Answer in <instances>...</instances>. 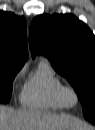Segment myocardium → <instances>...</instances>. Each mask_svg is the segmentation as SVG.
I'll return each mask as SVG.
<instances>
[{
    "label": "myocardium",
    "mask_w": 95,
    "mask_h": 130,
    "mask_svg": "<svg viewBox=\"0 0 95 130\" xmlns=\"http://www.w3.org/2000/svg\"><path fill=\"white\" fill-rule=\"evenodd\" d=\"M69 95H73L75 98V102L71 103L69 101ZM60 98L67 108H75L79 105L80 103V94L78 90L71 86V85H62L60 89Z\"/></svg>",
    "instance_id": "f54148a6"
}]
</instances>
